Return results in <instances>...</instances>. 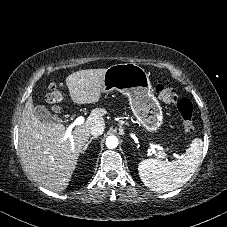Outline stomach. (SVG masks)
I'll return each instance as SVG.
<instances>
[{
    "instance_id": "stomach-1",
    "label": "stomach",
    "mask_w": 227,
    "mask_h": 227,
    "mask_svg": "<svg viewBox=\"0 0 227 227\" xmlns=\"http://www.w3.org/2000/svg\"><path fill=\"white\" fill-rule=\"evenodd\" d=\"M117 90L129 98L133 114L149 132L157 131L163 122L162 108L156 99L149 74L135 63L115 64L106 69L103 92Z\"/></svg>"
}]
</instances>
